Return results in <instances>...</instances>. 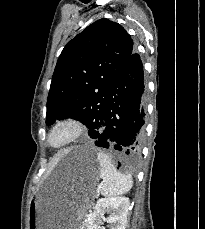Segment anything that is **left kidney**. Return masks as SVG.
<instances>
[{"label":"left kidney","mask_w":205,"mask_h":229,"mask_svg":"<svg viewBox=\"0 0 205 229\" xmlns=\"http://www.w3.org/2000/svg\"><path fill=\"white\" fill-rule=\"evenodd\" d=\"M129 204V198L126 197L99 199L94 207V212L88 216L87 229H103L101 225L105 213L110 214L107 218V222L111 224L110 229H125Z\"/></svg>","instance_id":"left-kidney-1"}]
</instances>
